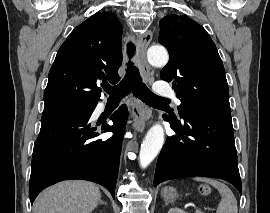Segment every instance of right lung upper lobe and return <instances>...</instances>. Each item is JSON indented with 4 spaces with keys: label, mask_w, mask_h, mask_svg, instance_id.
Segmentation results:
<instances>
[{
    "label": "right lung upper lobe",
    "mask_w": 270,
    "mask_h": 213,
    "mask_svg": "<svg viewBox=\"0 0 270 213\" xmlns=\"http://www.w3.org/2000/svg\"><path fill=\"white\" fill-rule=\"evenodd\" d=\"M122 27L112 13H96L61 45L49 71L44 107L61 102L97 104L98 84L120 80Z\"/></svg>",
    "instance_id": "1"
}]
</instances>
